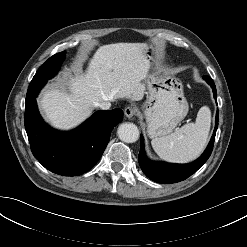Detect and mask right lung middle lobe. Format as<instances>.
<instances>
[{
  "label": "right lung middle lobe",
  "instance_id": "dd1d6c3e",
  "mask_svg": "<svg viewBox=\"0 0 247 247\" xmlns=\"http://www.w3.org/2000/svg\"><path fill=\"white\" fill-rule=\"evenodd\" d=\"M65 59V51L57 53L50 57L36 72L31 85L45 84L48 79L52 78L59 70L61 63Z\"/></svg>",
  "mask_w": 247,
  "mask_h": 247
}]
</instances>
